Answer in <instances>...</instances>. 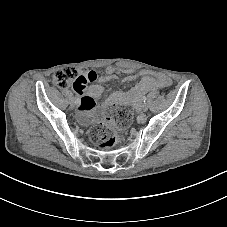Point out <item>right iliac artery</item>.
Wrapping results in <instances>:
<instances>
[{
  "mask_svg": "<svg viewBox=\"0 0 227 227\" xmlns=\"http://www.w3.org/2000/svg\"><path fill=\"white\" fill-rule=\"evenodd\" d=\"M75 99H76V103L78 104V106L80 105V103H81V100L76 96L75 97Z\"/></svg>",
  "mask_w": 227,
  "mask_h": 227,
  "instance_id": "right-iliac-artery-1",
  "label": "right iliac artery"
}]
</instances>
